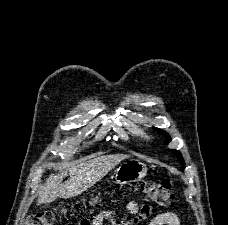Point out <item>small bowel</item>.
I'll use <instances>...</instances> for the list:
<instances>
[{"mask_svg":"<svg viewBox=\"0 0 228 225\" xmlns=\"http://www.w3.org/2000/svg\"><path fill=\"white\" fill-rule=\"evenodd\" d=\"M151 207V203H146L143 204L142 207H139L136 201L130 200L126 204V211L132 215L137 214L138 211L143 212L142 215H140V218L145 219L150 216V212L148 215L146 212L151 211ZM110 216L111 212L105 211L95 216L91 222L89 221L83 225H105V221L108 220ZM111 225H115V223H111ZM123 225H136V222H123ZM148 225H181V220L176 213L166 211L158 213L151 217Z\"/></svg>","mask_w":228,"mask_h":225,"instance_id":"obj_1","label":"small bowel"}]
</instances>
